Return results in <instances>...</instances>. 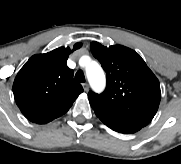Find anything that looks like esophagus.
Returning <instances> with one entry per match:
<instances>
[{
    "label": "esophagus",
    "instance_id": "esophagus-1",
    "mask_svg": "<svg viewBox=\"0 0 181 164\" xmlns=\"http://www.w3.org/2000/svg\"><path fill=\"white\" fill-rule=\"evenodd\" d=\"M82 86H83L84 91H88L89 90L88 83H84V84H82Z\"/></svg>",
    "mask_w": 181,
    "mask_h": 164
}]
</instances>
